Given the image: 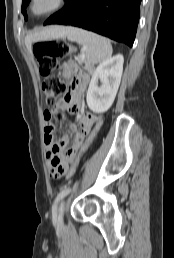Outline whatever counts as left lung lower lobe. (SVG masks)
<instances>
[{"mask_svg": "<svg viewBox=\"0 0 174 258\" xmlns=\"http://www.w3.org/2000/svg\"><path fill=\"white\" fill-rule=\"evenodd\" d=\"M141 0H66L44 25L62 24L90 30L132 47Z\"/></svg>", "mask_w": 174, "mask_h": 258, "instance_id": "1", "label": "left lung lower lobe"}]
</instances>
